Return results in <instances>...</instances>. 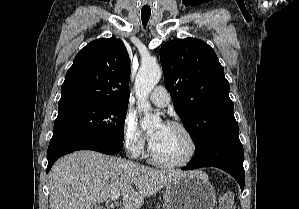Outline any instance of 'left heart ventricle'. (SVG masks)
<instances>
[{
    "mask_svg": "<svg viewBox=\"0 0 299 209\" xmlns=\"http://www.w3.org/2000/svg\"><path fill=\"white\" fill-rule=\"evenodd\" d=\"M157 133L151 144L156 157L168 162L183 160L190 151L187 137L178 129L166 125H157L152 129Z\"/></svg>",
    "mask_w": 299,
    "mask_h": 209,
    "instance_id": "left-heart-ventricle-1",
    "label": "left heart ventricle"
}]
</instances>
